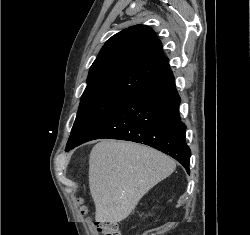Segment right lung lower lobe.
<instances>
[{"mask_svg":"<svg viewBox=\"0 0 250 235\" xmlns=\"http://www.w3.org/2000/svg\"><path fill=\"white\" fill-rule=\"evenodd\" d=\"M181 98L170 67L134 93L116 111L85 133L66 151L90 140L111 138L149 145L181 163L189 173L191 151L178 107Z\"/></svg>","mask_w":250,"mask_h":235,"instance_id":"98d812e1","label":"right lung lower lobe"}]
</instances>
